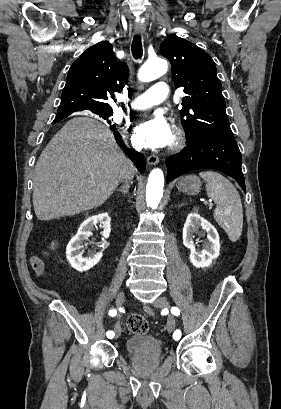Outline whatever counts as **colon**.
Returning <instances> with one entry per match:
<instances>
[{
    "label": "colon",
    "instance_id": "obj_1",
    "mask_svg": "<svg viewBox=\"0 0 281 409\" xmlns=\"http://www.w3.org/2000/svg\"><path fill=\"white\" fill-rule=\"evenodd\" d=\"M53 248L54 246L51 247V249ZM127 325L136 334H143L148 329L147 321L139 314L131 315L127 320Z\"/></svg>",
    "mask_w": 281,
    "mask_h": 409
}]
</instances>
